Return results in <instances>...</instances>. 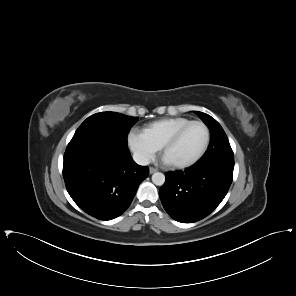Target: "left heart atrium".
<instances>
[{
  "instance_id": "1",
  "label": "left heart atrium",
  "mask_w": 296,
  "mask_h": 296,
  "mask_svg": "<svg viewBox=\"0 0 296 296\" xmlns=\"http://www.w3.org/2000/svg\"><path fill=\"white\" fill-rule=\"evenodd\" d=\"M164 161L167 162V163H169L165 158H164Z\"/></svg>"
}]
</instances>
